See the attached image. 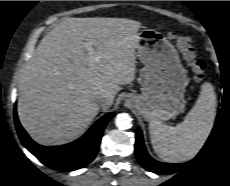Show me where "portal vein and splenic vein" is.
<instances>
[{
    "label": "portal vein and splenic vein",
    "instance_id": "obj_1",
    "mask_svg": "<svg viewBox=\"0 0 230 186\" xmlns=\"http://www.w3.org/2000/svg\"><path fill=\"white\" fill-rule=\"evenodd\" d=\"M84 48L88 51V60L89 63L92 64L93 62H95L97 60V53L95 51V49L92 46V43L90 42H84L83 43Z\"/></svg>",
    "mask_w": 230,
    "mask_h": 186
}]
</instances>
